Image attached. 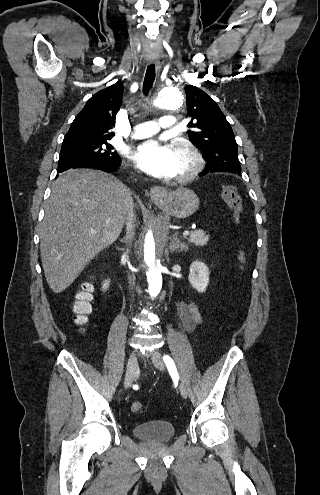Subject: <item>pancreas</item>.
<instances>
[{
  "label": "pancreas",
  "mask_w": 320,
  "mask_h": 495,
  "mask_svg": "<svg viewBox=\"0 0 320 495\" xmlns=\"http://www.w3.org/2000/svg\"><path fill=\"white\" fill-rule=\"evenodd\" d=\"M189 243H194L196 246H204L207 244L209 241V235L206 234L204 231H193L189 238H188Z\"/></svg>",
  "instance_id": "cf45deb5"
}]
</instances>
